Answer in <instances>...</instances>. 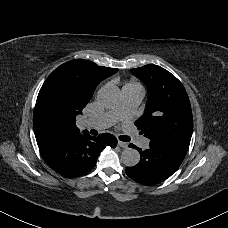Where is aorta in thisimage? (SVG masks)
<instances>
[{"mask_svg": "<svg viewBox=\"0 0 228 228\" xmlns=\"http://www.w3.org/2000/svg\"><path fill=\"white\" fill-rule=\"evenodd\" d=\"M121 99V94L116 86H104L98 94V102L106 109H113L118 106ZM121 161L127 167L135 166L140 161V154L133 148H126L122 151Z\"/></svg>", "mask_w": 228, "mask_h": 228, "instance_id": "1", "label": "aorta"}]
</instances>
